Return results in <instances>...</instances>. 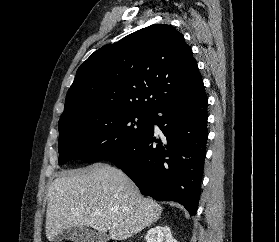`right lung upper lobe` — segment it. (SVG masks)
Wrapping results in <instances>:
<instances>
[{
  "mask_svg": "<svg viewBox=\"0 0 279 242\" xmlns=\"http://www.w3.org/2000/svg\"><path fill=\"white\" fill-rule=\"evenodd\" d=\"M192 49L172 26L154 24L95 51L77 70L59 125L126 110L153 113L203 88Z\"/></svg>",
  "mask_w": 279,
  "mask_h": 242,
  "instance_id": "1",
  "label": "right lung upper lobe"
}]
</instances>
